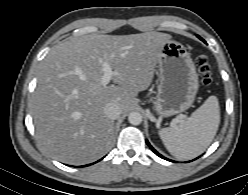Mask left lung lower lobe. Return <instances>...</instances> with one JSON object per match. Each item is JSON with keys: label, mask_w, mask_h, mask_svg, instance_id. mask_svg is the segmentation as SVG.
Listing matches in <instances>:
<instances>
[{"label": "left lung lower lobe", "mask_w": 248, "mask_h": 195, "mask_svg": "<svg viewBox=\"0 0 248 195\" xmlns=\"http://www.w3.org/2000/svg\"><path fill=\"white\" fill-rule=\"evenodd\" d=\"M147 145L152 149V151L159 157L163 158V159H166L165 157H163L162 155H160L151 145L148 141H146ZM168 160V159H166Z\"/></svg>", "instance_id": "0a47b994"}]
</instances>
